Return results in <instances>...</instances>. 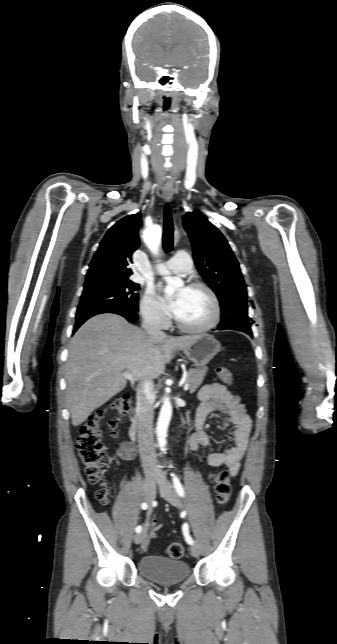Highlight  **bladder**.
<instances>
[{"mask_svg":"<svg viewBox=\"0 0 337 644\" xmlns=\"http://www.w3.org/2000/svg\"><path fill=\"white\" fill-rule=\"evenodd\" d=\"M138 570L143 577L159 584L181 583L190 575L186 562L152 555L138 561Z\"/></svg>","mask_w":337,"mask_h":644,"instance_id":"31cf9c89","label":"bladder"}]
</instances>
